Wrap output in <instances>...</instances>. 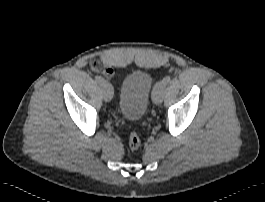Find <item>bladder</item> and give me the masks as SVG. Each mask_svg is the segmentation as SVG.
<instances>
[{
  "instance_id": "1",
  "label": "bladder",
  "mask_w": 265,
  "mask_h": 202,
  "mask_svg": "<svg viewBox=\"0 0 265 202\" xmlns=\"http://www.w3.org/2000/svg\"><path fill=\"white\" fill-rule=\"evenodd\" d=\"M152 81L148 73L135 72L126 76L120 87L119 110L128 121H138L146 113Z\"/></svg>"
}]
</instances>
